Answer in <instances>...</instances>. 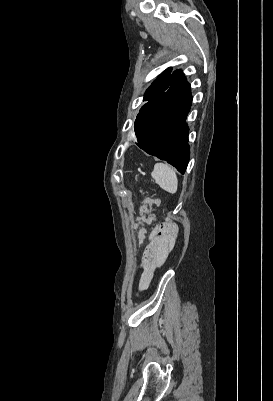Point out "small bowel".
Listing matches in <instances>:
<instances>
[{"mask_svg":"<svg viewBox=\"0 0 273 401\" xmlns=\"http://www.w3.org/2000/svg\"><path fill=\"white\" fill-rule=\"evenodd\" d=\"M137 221L141 224H151L153 222V217L151 215H141L137 218ZM156 228L160 227L158 226ZM156 228L150 232L148 236L149 242L143 253L141 261L142 272L138 277L139 291L145 290L149 287L155 269L164 262L173 244V241H153L152 236ZM143 239L144 232L141 231L139 233V240L142 241Z\"/></svg>","mask_w":273,"mask_h":401,"instance_id":"c3829d8e","label":"small bowel"}]
</instances>
